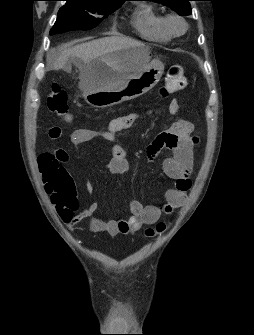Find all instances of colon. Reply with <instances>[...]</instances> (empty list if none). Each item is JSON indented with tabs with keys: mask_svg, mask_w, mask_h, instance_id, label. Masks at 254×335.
Here are the masks:
<instances>
[{
	"mask_svg": "<svg viewBox=\"0 0 254 335\" xmlns=\"http://www.w3.org/2000/svg\"><path fill=\"white\" fill-rule=\"evenodd\" d=\"M186 83L183 67L180 65L170 67L165 77V86L161 90V96L167 97L171 93L183 89ZM47 104L52 113L65 118L70 117L68 96L61 87L55 85L51 88L47 97ZM192 143L196 144L197 139L193 138ZM58 156L59 150L40 155L39 168L45 181L47 193L52 194L53 201L61 211V206L72 197V186L66 169L59 163ZM71 205L76 206V202L72 201ZM165 228V223L161 222L154 228H148L146 234L152 236L155 233L163 232Z\"/></svg>",
	"mask_w": 254,
	"mask_h": 335,
	"instance_id": "obj_1",
	"label": "colon"
}]
</instances>
